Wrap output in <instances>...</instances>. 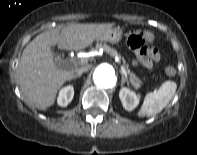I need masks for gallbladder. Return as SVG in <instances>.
<instances>
[{
    "label": "gallbladder",
    "instance_id": "obj_1",
    "mask_svg": "<svg viewBox=\"0 0 197 155\" xmlns=\"http://www.w3.org/2000/svg\"><path fill=\"white\" fill-rule=\"evenodd\" d=\"M53 52H54V49H52ZM54 56H55V64L58 66V67H62L63 65V62L61 60V54L60 53H56L54 52Z\"/></svg>",
    "mask_w": 197,
    "mask_h": 155
}]
</instances>
